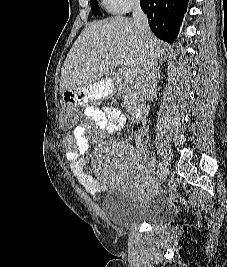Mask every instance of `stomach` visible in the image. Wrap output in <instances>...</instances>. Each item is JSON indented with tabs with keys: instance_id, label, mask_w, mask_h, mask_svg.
Masks as SVG:
<instances>
[{
	"instance_id": "stomach-1",
	"label": "stomach",
	"mask_w": 227,
	"mask_h": 267,
	"mask_svg": "<svg viewBox=\"0 0 227 267\" xmlns=\"http://www.w3.org/2000/svg\"><path fill=\"white\" fill-rule=\"evenodd\" d=\"M112 85L104 83L98 85H84V87H66V91H60V104H76L83 106L87 99L94 100L112 93Z\"/></svg>"
}]
</instances>
